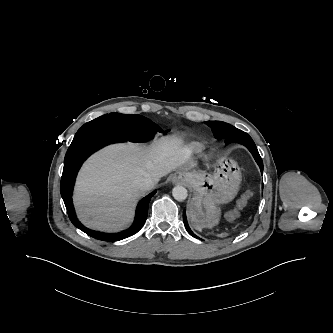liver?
Masks as SVG:
<instances>
[{"instance_id":"1","label":"liver","mask_w":333,"mask_h":333,"mask_svg":"<svg viewBox=\"0 0 333 333\" xmlns=\"http://www.w3.org/2000/svg\"><path fill=\"white\" fill-rule=\"evenodd\" d=\"M191 149L177 136H165L151 145L135 143L106 147L83 166L73 202L87 227L116 232L132 219L135 203L145 191L137 183L151 178L155 184L176 169H192Z\"/></svg>"}]
</instances>
